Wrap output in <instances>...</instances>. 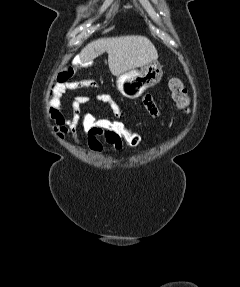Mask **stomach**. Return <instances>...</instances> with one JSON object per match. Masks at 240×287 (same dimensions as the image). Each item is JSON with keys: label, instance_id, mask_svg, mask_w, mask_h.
Returning a JSON list of instances; mask_svg holds the SVG:
<instances>
[{"label": "stomach", "instance_id": "stomach-1", "mask_svg": "<svg viewBox=\"0 0 240 287\" xmlns=\"http://www.w3.org/2000/svg\"><path fill=\"white\" fill-rule=\"evenodd\" d=\"M163 76L162 66L153 61L141 70L131 69L117 77V88L129 99H136L148 88L159 83Z\"/></svg>", "mask_w": 240, "mask_h": 287}]
</instances>
